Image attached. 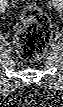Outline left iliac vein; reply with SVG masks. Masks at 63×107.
<instances>
[{
    "label": "left iliac vein",
    "instance_id": "4c4485c4",
    "mask_svg": "<svg viewBox=\"0 0 63 107\" xmlns=\"http://www.w3.org/2000/svg\"><path fill=\"white\" fill-rule=\"evenodd\" d=\"M54 3V6L58 9V10H60L61 8L58 6V2H53Z\"/></svg>",
    "mask_w": 63,
    "mask_h": 107
}]
</instances>
